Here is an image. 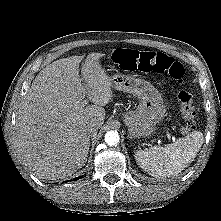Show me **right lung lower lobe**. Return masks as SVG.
Masks as SVG:
<instances>
[{"label":"right lung lower lobe","instance_id":"98d812e1","mask_svg":"<svg viewBox=\"0 0 221 221\" xmlns=\"http://www.w3.org/2000/svg\"><path fill=\"white\" fill-rule=\"evenodd\" d=\"M80 178H82V176H80V177H76L75 180H78V179H80Z\"/></svg>","mask_w":221,"mask_h":221}]
</instances>
